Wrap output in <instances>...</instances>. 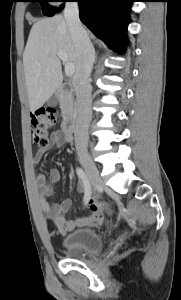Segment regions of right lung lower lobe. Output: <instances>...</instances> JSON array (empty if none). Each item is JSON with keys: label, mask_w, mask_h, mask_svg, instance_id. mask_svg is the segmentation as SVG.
<instances>
[{"label": "right lung lower lobe", "mask_w": 181, "mask_h": 300, "mask_svg": "<svg viewBox=\"0 0 181 300\" xmlns=\"http://www.w3.org/2000/svg\"><path fill=\"white\" fill-rule=\"evenodd\" d=\"M76 1L79 3L81 21L114 51L123 52L127 37L126 21L133 0Z\"/></svg>", "instance_id": "obj_1"}]
</instances>
